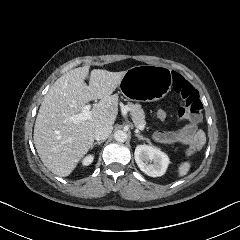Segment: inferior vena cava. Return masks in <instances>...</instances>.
Instances as JSON below:
<instances>
[{
  "instance_id": "602c4592",
  "label": "inferior vena cava",
  "mask_w": 240,
  "mask_h": 240,
  "mask_svg": "<svg viewBox=\"0 0 240 240\" xmlns=\"http://www.w3.org/2000/svg\"><path fill=\"white\" fill-rule=\"evenodd\" d=\"M113 126L111 124H105L97 128L94 132V138L96 140H105L112 132Z\"/></svg>"
}]
</instances>
